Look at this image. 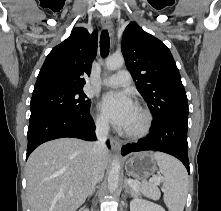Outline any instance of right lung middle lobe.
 Masks as SVG:
<instances>
[{
  "mask_svg": "<svg viewBox=\"0 0 221 211\" xmlns=\"http://www.w3.org/2000/svg\"><path fill=\"white\" fill-rule=\"evenodd\" d=\"M82 89L51 88L34 91L30 107L33 118L44 113L83 114L90 109L91 101Z\"/></svg>",
  "mask_w": 221,
  "mask_h": 211,
  "instance_id": "1",
  "label": "right lung middle lobe"
}]
</instances>
